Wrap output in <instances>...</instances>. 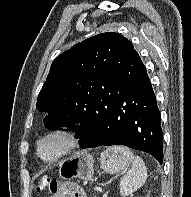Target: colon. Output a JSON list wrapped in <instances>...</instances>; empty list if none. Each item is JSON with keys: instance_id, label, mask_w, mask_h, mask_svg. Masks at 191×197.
<instances>
[{"instance_id": "colon-1", "label": "colon", "mask_w": 191, "mask_h": 197, "mask_svg": "<svg viewBox=\"0 0 191 197\" xmlns=\"http://www.w3.org/2000/svg\"><path fill=\"white\" fill-rule=\"evenodd\" d=\"M36 190L39 193L49 191L52 194H56L60 191L57 182L49 176H43L38 180Z\"/></svg>"}]
</instances>
